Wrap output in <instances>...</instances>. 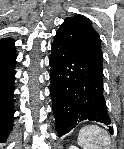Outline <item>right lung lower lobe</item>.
<instances>
[{
    "label": "right lung lower lobe",
    "mask_w": 124,
    "mask_h": 149,
    "mask_svg": "<svg viewBox=\"0 0 124 149\" xmlns=\"http://www.w3.org/2000/svg\"><path fill=\"white\" fill-rule=\"evenodd\" d=\"M15 46L11 39L0 41V143H4L13 125V85Z\"/></svg>",
    "instance_id": "obj_1"
}]
</instances>
